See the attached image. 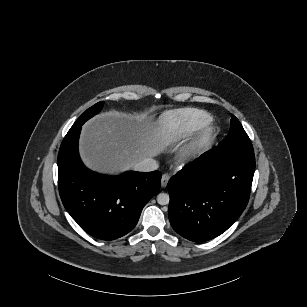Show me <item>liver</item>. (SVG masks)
<instances>
[{
  "label": "liver",
  "mask_w": 307,
  "mask_h": 307,
  "mask_svg": "<svg viewBox=\"0 0 307 307\" xmlns=\"http://www.w3.org/2000/svg\"><path fill=\"white\" fill-rule=\"evenodd\" d=\"M155 109L133 114L111 110L84 125L79 149L85 165L101 173L117 174L161 153V141L149 116Z\"/></svg>",
  "instance_id": "obj_1"
}]
</instances>
